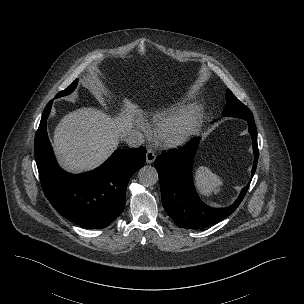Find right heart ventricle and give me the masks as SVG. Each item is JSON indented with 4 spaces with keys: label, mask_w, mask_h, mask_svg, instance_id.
<instances>
[{
    "label": "right heart ventricle",
    "mask_w": 304,
    "mask_h": 304,
    "mask_svg": "<svg viewBox=\"0 0 304 304\" xmlns=\"http://www.w3.org/2000/svg\"><path fill=\"white\" fill-rule=\"evenodd\" d=\"M178 109H179L178 106L173 105L168 108L157 110L153 113L152 118L154 119V121L160 122L162 119H164L168 115L176 113V111Z\"/></svg>",
    "instance_id": "right-heart-ventricle-1"
}]
</instances>
